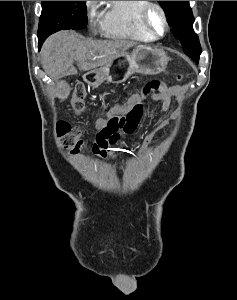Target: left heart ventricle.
<instances>
[{"label":"left heart ventricle","instance_id":"1","mask_svg":"<svg viewBox=\"0 0 237 300\" xmlns=\"http://www.w3.org/2000/svg\"><path fill=\"white\" fill-rule=\"evenodd\" d=\"M151 22L153 24V26L158 30V31H162L163 29V25H162V22H161V19H160V16L157 12L153 11L151 13Z\"/></svg>","mask_w":237,"mask_h":300}]
</instances>
